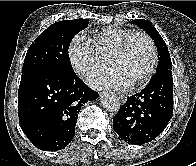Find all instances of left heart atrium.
<instances>
[{
  "label": "left heart atrium",
  "mask_w": 196,
  "mask_h": 166,
  "mask_svg": "<svg viewBox=\"0 0 196 166\" xmlns=\"http://www.w3.org/2000/svg\"><path fill=\"white\" fill-rule=\"evenodd\" d=\"M89 83L96 88L111 87L117 90H126L132 83L114 67L98 71L89 77Z\"/></svg>",
  "instance_id": "39dd6f15"
}]
</instances>
